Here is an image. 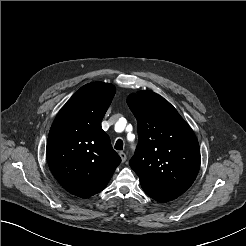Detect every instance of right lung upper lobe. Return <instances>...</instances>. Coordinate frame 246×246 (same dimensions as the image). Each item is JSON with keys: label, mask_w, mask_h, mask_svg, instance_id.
Returning <instances> with one entry per match:
<instances>
[{"label": "right lung upper lobe", "mask_w": 246, "mask_h": 246, "mask_svg": "<svg viewBox=\"0 0 246 246\" xmlns=\"http://www.w3.org/2000/svg\"><path fill=\"white\" fill-rule=\"evenodd\" d=\"M115 87L92 82L81 87L62 107L48 136L47 161L68 192L90 197L102 191L121 162L101 121Z\"/></svg>", "instance_id": "right-lung-upper-lobe-1"}]
</instances>
